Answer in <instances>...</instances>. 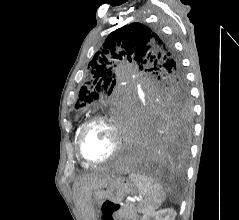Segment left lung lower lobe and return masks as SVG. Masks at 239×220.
<instances>
[{
	"mask_svg": "<svg viewBox=\"0 0 239 220\" xmlns=\"http://www.w3.org/2000/svg\"><path fill=\"white\" fill-rule=\"evenodd\" d=\"M180 115L141 108L129 110L132 142L128 162L140 168L182 164L188 153L190 123L189 118Z\"/></svg>",
	"mask_w": 239,
	"mask_h": 220,
	"instance_id": "0a47b994",
	"label": "left lung lower lobe"
}]
</instances>
